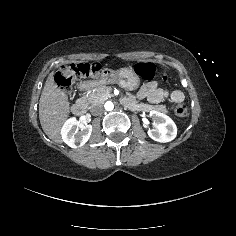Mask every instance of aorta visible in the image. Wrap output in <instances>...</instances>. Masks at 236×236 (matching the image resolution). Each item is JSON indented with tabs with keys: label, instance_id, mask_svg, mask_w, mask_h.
Here are the masks:
<instances>
[{
	"label": "aorta",
	"instance_id": "aorta-1",
	"mask_svg": "<svg viewBox=\"0 0 236 236\" xmlns=\"http://www.w3.org/2000/svg\"><path fill=\"white\" fill-rule=\"evenodd\" d=\"M114 109V104L111 101H107L105 103V110L106 111H112Z\"/></svg>",
	"mask_w": 236,
	"mask_h": 236
}]
</instances>
